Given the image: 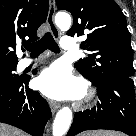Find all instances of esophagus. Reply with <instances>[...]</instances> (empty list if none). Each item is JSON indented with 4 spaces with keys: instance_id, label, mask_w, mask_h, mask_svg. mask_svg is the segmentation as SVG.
I'll return each mask as SVG.
<instances>
[{
    "instance_id": "obj_1",
    "label": "esophagus",
    "mask_w": 136,
    "mask_h": 136,
    "mask_svg": "<svg viewBox=\"0 0 136 136\" xmlns=\"http://www.w3.org/2000/svg\"><path fill=\"white\" fill-rule=\"evenodd\" d=\"M55 10H56L55 0H49V10H48V15H47V24H48V27L50 29L52 36L55 39H58L59 36H60V33H59V30L56 27L55 22H54ZM49 106H50L52 113H55L60 105H59V103L50 100Z\"/></svg>"
}]
</instances>
